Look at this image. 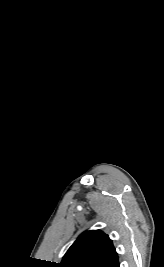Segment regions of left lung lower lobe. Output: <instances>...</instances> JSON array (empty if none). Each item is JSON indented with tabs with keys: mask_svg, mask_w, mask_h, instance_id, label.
<instances>
[{
	"mask_svg": "<svg viewBox=\"0 0 164 267\" xmlns=\"http://www.w3.org/2000/svg\"><path fill=\"white\" fill-rule=\"evenodd\" d=\"M107 267H120L118 262V256H116Z\"/></svg>",
	"mask_w": 164,
	"mask_h": 267,
	"instance_id": "0a47b994",
	"label": "left lung lower lobe"
}]
</instances>
